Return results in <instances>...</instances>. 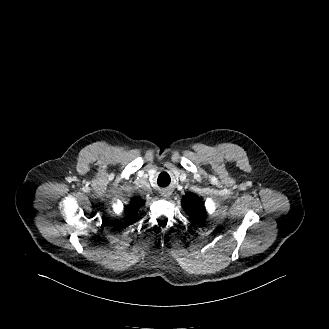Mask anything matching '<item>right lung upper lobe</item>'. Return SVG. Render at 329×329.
<instances>
[{"mask_svg": "<svg viewBox=\"0 0 329 329\" xmlns=\"http://www.w3.org/2000/svg\"><path fill=\"white\" fill-rule=\"evenodd\" d=\"M142 204H144L143 200L135 197L132 199L131 204L125 207V212L129 222L135 218L137 210L142 206Z\"/></svg>", "mask_w": 329, "mask_h": 329, "instance_id": "right-lung-upper-lobe-1", "label": "right lung upper lobe"}]
</instances>
